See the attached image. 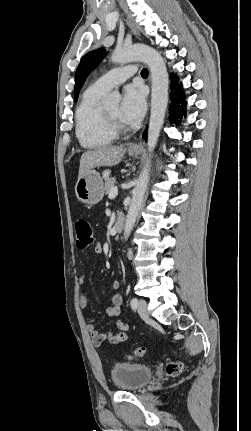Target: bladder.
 Instances as JSON below:
<instances>
[{
	"label": "bladder",
	"mask_w": 251,
	"mask_h": 431,
	"mask_svg": "<svg viewBox=\"0 0 251 431\" xmlns=\"http://www.w3.org/2000/svg\"><path fill=\"white\" fill-rule=\"evenodd\" d=\"M153 375L152 369L139 363H117L111 368L113 384L121 390L135 391L146 386Z\"/></svg>",
	"instance_id": "31cf9c89"
}]
</instances>
